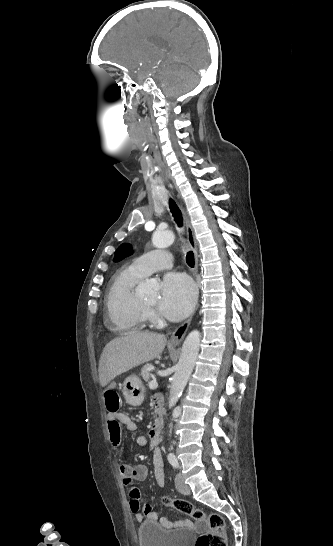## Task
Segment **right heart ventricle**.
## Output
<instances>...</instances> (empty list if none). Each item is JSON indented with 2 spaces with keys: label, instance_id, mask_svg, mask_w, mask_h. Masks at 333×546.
Wrapping results in <instances>:
<instances>
[{
  "label": "right heart ventricle",
  "instance_id": "right-heart-ventricle-1",
  "mask_svg": "<svg viewBox=\"0 0 333 546\" xmlns=\"http://www.w3.org/2000/svg\"><path fill=\"white\" fill-rule=\"evenodd\" d=\"M144 277L133 266L123 268L113 277L106 296L107 320L112 328L125 332L144 329L147 309L136 293V286Z\"/></svg>",
  "mask_w": 333,
  "mask_h": 546
}]
</instances>
